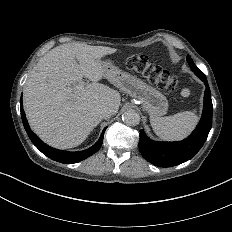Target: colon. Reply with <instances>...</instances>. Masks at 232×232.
I'll list each match as a JSON object with an SVG mask.
<instances>
[{"label": "colon", "instance_id": "colon-1", "mask_svg": "<svg viewBox=\"0 0 232 232\" xmlns=\"http://www.w3.org/2000/svg\"><path fill=\"white\" fill-rule=\"evenodd\" d=\"M149 56H127V69L133 73H142L149 79L150 86H165V91H176L179 86L178 78L174 74H162L164 66L147 64ZM174 82V86H170Z\"/></svg>", "mask_w": 232, "mask_h": 232}]
</instances>
